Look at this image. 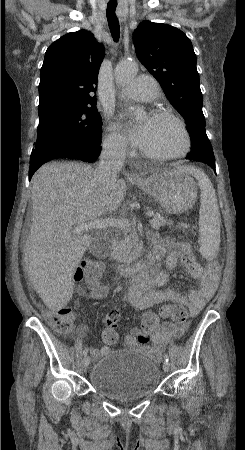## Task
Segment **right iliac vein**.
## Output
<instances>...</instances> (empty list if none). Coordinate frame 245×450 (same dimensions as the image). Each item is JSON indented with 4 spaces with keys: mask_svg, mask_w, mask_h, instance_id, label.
I'll list each match as a JSON object with an SVG mask.
<instances>
[{
    "mask_svg": "<svg viewBox=\"0 0 245 450\" xmlns=\"http://www.w3.org/2000/svg\"><path fill=\"white\" fill-rule=\"evenodd\" d=\"M89 364H90V358H89V356H85V357L83 358V360H82V366H83V368H84V369H87L88 366H89Z\"/></svg>",
    "mask_w": 245,
    "mask_h": 450,
    "instance_id": "right-iliac-vein-1",
    "label": "right iliac vein"
}]
</instances>
